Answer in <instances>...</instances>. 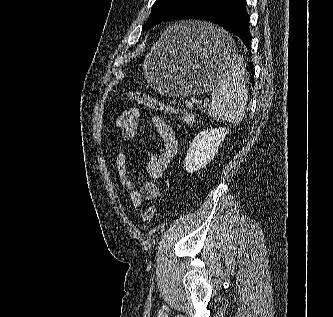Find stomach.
I'll use <instances>...</instances> for the list:
<instances>
[{"mask_svg":"<svg viewBox=\"0 0 333 317\" xmlns=\"http://www.w3.org/2000/svg\"><path fill=\"white\" fill-rule=\"evenodd\" d=\"M220 24L186 22L168 28L152 46L143 62L144 74L161 95H207L226 69L244 62L236 55V41Z\"/></svg>","mask_w":333,"mask_h":317,"instance_id":"stomach-1","label":"stomach"}]
</instances>
